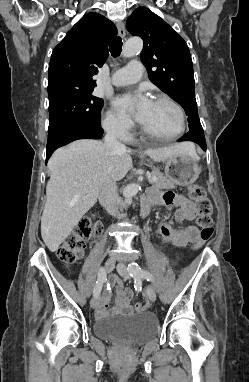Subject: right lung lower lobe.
Segmentation results:
<instances>
[{"instance_id":"obj_1","label":"right lung lower lobe","mask_w":249,"mask_h":382,"mask_svg":"<svg viewBox=\"0 0 249 382\" xmlns=\"http://www.w3.org/2000/svg\"><path fill=\"white\" fill-rule=\"evenodd\" d=\"M102 134L103 129L100 123H77L48 133L46 164L57 148L78 139H100Z\"/></svg>"}]
</instances>
